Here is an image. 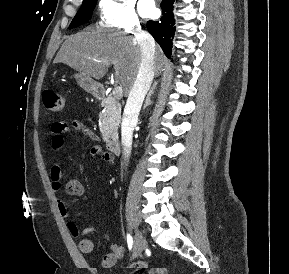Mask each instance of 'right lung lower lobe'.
I'll use <instances>...</instances> for the list:
<instances>
[{"label":"right lung lower lobe","mask_w":289,"mask_h":274,"mask_svg":"<svg viewBox=\"0 0 289 274\" xmlns=\"http://www.w3.org/2000/svg\"><path fill=\"white\" fill-rule=\"evenodd\" d=\"M173 4L174 0H162L160 7L163 11V16L161 19L147 22V30L161 46L168 58L171 57L172 39L175 32Z\"/></svg>","instance_id":"obj_1"}]
</instances>
